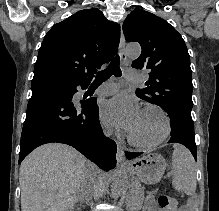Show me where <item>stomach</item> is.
<instances>
[{"instance_id": "obj_1", "label": "stomach", "mask_w": 219, "mask_h": 211, "mask_svg": "<svg viewBox=\"0 0 219 211\" xmlns=\"http://www.w3.org/2000/svg\"><path fill=\"white\" fill-rule=\"evenodd\" d=\"M167 163L158 153H150L131 161L126 169L135 174L143 183L154 184L160 181Z\"/></svg>"}]
</instances>
